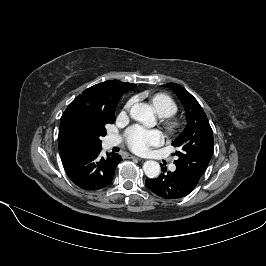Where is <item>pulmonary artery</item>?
Returning a JSON list of instances; mask_svg holds the SVG:
<instances>
[{
	"label": "pulmonary artery",
	"mask_w": 266,
	"mask_h": 266,
	"mask_svg": "<svg viewBox=\"0 0 266 266\" xmlns=\"http://www.w3.org/2000/svg\"><path fill=\"white\" fill-rule=\"evenodd\" d=\"M120 142H121V139H120L118 136H114V135L109 136V137H107V139H106V145H107L108 147L116 146V145H118ZM170 169H171V170H174V169H175V165L172 164V165L170 166Z\"/></svg>",
	"instance_id": "1"
}]
</instances>
